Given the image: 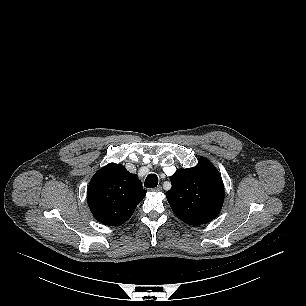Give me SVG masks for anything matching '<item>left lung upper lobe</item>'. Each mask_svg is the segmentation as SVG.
<instances>
[{"label": "left lung upper lobe", "instance_id": "obj_1", "mask_svg": "<svg viewBox=\"0 0 306 306\" xmlns=\"http://www.w3.org/2000/svg\"><path fill=\"white\" fill-rule=\"evenodd\" d=\"M167 200L183 222L200 225L213 220L221 210L224 185L221 175L206 159L196 167L177 170L170 178Z\"/></svg>", "mask_w": 306, "mask_h": 306}]
</instances>
